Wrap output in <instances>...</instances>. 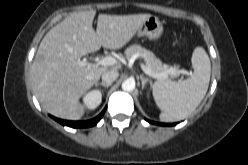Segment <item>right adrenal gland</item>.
Instances as JSON below:
<instances>
[{
  "label": "right adrenal gland",
  "instance_id": "obj_1",
  "mask_svg": "<svg viewBox=\"0 0 248 165\" xmlns=\"http://www.w3.org/2000/svg\"><path fill=\"white\" fill-rule=\"evenodd\" d=\"M98 85H101V86L108 88L111 84L110 83H104V82H96L95 86H98Z\"/></svg>",
  "mask_w": 248,
  "mask_h": 165
}]
</instances>
